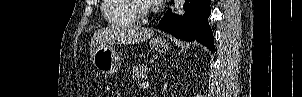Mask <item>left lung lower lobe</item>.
<instances>
[{
    "instance_id": "1",
    "label": "left lung lower lobe",
    "mask_w": 302,
    "mask_h": 97,
    "mask_svg": "<svg viewBox=\"0 0 302 97\" xmlns=\"http://www.w3.org/2000/svg\"><path fill=\"white\" fill-rule=\"evenodd\" d=\"M184 15L176 16L170 11L161 19L158 27L185 41H194L214 49L213 33L208 24L210 0H185Z\"/></svg>"
}]
</instances>
